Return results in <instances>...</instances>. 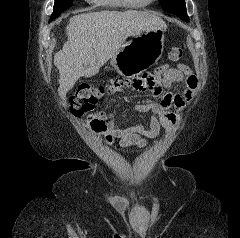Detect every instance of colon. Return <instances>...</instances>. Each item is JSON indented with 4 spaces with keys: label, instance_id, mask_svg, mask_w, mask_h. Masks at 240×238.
Returning a JSON list of instances; mask_svg holds the SVG:
<instances>
[{
    "label": "colon",
    "instance_id": "1",
    "mask_svg": "<svg viewBox=\"0 0 240 238\" xmlns=\"http://www.w3.org/2000/svg\"><path fill=\"white\" fill-rule=\"evenodd\" d=\"M182 56V50L174 47L169 49L168 58L171 61H178ZM112 84V83H111ZM105 89L102 86L92 84L80 85L70 99L71 112L75 116H83L89 114L90 126L94 132L102 133L106 131L105 121L93 118V109L97 99L103 95Z\"/></svg>",
    "mask_w": 240,
    "mask_h": 238
}]
</instances>
